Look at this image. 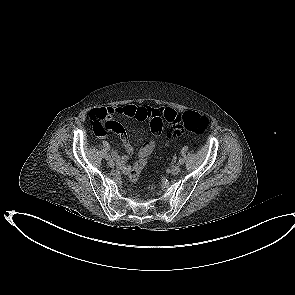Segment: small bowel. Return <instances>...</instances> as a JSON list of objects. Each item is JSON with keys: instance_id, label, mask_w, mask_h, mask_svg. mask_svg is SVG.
Returning a JSON list of instances; mask_svg holds the SVG:
<instances>
[{"instance_id": "1", "label": "small bowel", "mask_w": 295, "mask_h": 295, "mask_svg": "<svg viewBox=\"0 0 295 295\" xmlns=\"http://www.w3.org/2000/svg\"><path fill=\"white\" fill-rule=\"evenodd\" d=\"M177 114L171 108H151L149 106H138V105H125L121 107L106 109H92L89 112V117L91 120L95 121V130L98 134L103 135L105 130L113 132L115 135H121L126 153L121 155L116 150H113L112 155L115 158L117 164L121 167L124 172H128L129 168L126 166L129 155L133 152V147L129 143L128 138L124 132V127L121 124H118L112 117L109 115H117L119 117L134 118L138 120H150V128L152 133L159 137L162 133L164 122L168 123L169 114ZM169 125V123H168ZM179 130L169 128L166 131L164 145L169 146L178 136ZM141 151V150H140Z\"/></svg>"}]
</instances>
